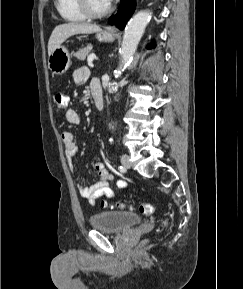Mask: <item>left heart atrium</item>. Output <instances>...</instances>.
Here are the masks:
<instances>
[{"label":"left heart atrium","instance_id":"obj_1","mask_svg":"<svg viewBox=\"0 0 243 289\" xmlns=\"http://www.w3.org/2000/svg\"><path fill=\"white\" fill-rule=\"evenodd\" d=\"M108 4H110L112 2V0H105Z\"/></svg>","mask_w":243,"mask_h":289}]
</instances>
